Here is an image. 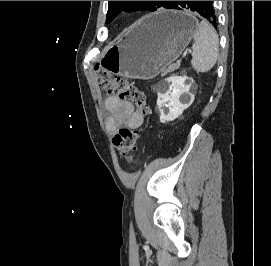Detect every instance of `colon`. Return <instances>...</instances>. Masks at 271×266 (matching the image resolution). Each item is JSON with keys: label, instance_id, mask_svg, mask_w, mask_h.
Instances as JSON below:
<instances>
[{"label": "colon", "instance_id": "1", "mask_svg": "<svg viewBox=\"0 0 271 266\" xmlns=\"http://www.w3.org/2000/svg\"><path fill=\"white\" fill-rule=\"evenodd\" d=\"M96 79L106 93L134 104L142 115H148L149 106L146 95L137 86L102 68L96 69ZM139 137V129L123 127L114 135L113 144L120 155L127 158L130 153L136 150Z\"/></svg>", "mask_w": 271, "mask_h": 266}]
</instances>
